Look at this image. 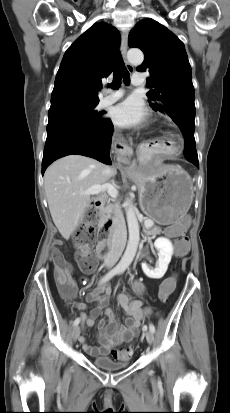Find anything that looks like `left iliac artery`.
I'll list each match as a JSON object with an SVG mask.
<instances>
[{
  "mask_svg": "<svg viewBox=\"0 0 230 413\" xmlns=\"http://www.w3.org/2000/svg\"><path fill=\"white\" fill-rule=\"evenodd\" d=\"M149 330L153 333L155 332V326L152 323L149 324Z\"/></svg>",
  "mask_w": 230,
  "mask_h": 413,
  "instance_id": "left-iliac-artery-1",
  "label": "left iliac artery"
}]
</instances>
